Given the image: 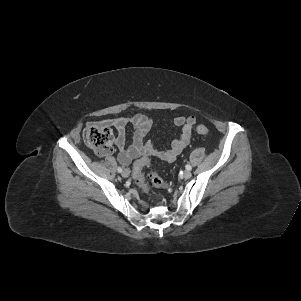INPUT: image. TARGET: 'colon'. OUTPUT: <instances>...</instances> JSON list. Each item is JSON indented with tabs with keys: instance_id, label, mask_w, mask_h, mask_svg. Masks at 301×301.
Listing matches in <instances>:
<instances>
[{
	"instance_id": "colon-1",
	"label": "colon",
	"mask_w": 301,
	"mask_h": 301,
	"mask_svg": "<svg viewBox=\"0 0 301 301\" xmlns=\"http://www.w3.org/2000/svg\"><path fill=\"white\" fill-rule=\"evenodd\" d=\"M196 131L200 135H207L209 133V129L205 125H198ZM83 138L86 144L93 148L100 156H105L112 152L113 135L109 127L103 123H89L83 130ZM150 163V158L145 156L136 160L133 165V179L146 192H149L151 186L159 188L167 186L155 171L149 174V182L146 180L144 168L150 165Z\"/></svg>"
}]
</instances>
